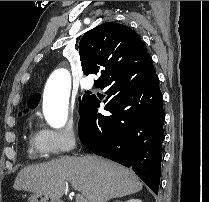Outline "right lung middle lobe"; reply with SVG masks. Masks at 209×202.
Here are the masks:
<instances>
[{
	"label": "right lung middle lobe",
	"instance_id": "obj_1",
	"mask_svg": "<svg viewBox=\"0 0 209 202\" xmlns=\"http://www.w3.org/2000/svg\"><path fill=\"white\" fill-rule=\"evenodd\" d=\"M89 98H90V95H83L82 99L79 97V112H80V115L86 109ZM25 112H27V110H25ZM19 115H21V113Z\"/></svg>",
	"mask_w": 209,
	"mask_h": 202
}]
</instances>
